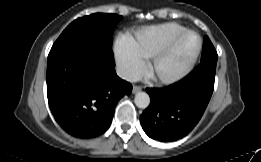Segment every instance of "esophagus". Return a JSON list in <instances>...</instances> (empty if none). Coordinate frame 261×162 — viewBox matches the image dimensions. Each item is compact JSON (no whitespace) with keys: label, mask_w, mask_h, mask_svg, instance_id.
Segmentation results:
<instances>
[{"label":"esophagus","mask_w":261,"mask_h":162,"mask_svg":"<svg viewBox=\"0 0 261 162\" xmlns=\"http://www.w3.org/2000/svg\"><path fill=\"white\" fill-rule=\"evenodd\" d=\"M141 89L142 88L140 86L134 85L133 88H132V93L136 94V93L140 92Z\"/></svg>","instance_id":"obj_1"}]
</instances>
